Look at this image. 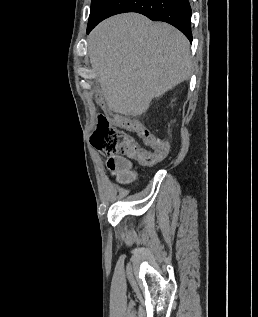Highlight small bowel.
<instances>
[{"mask_svg":"<svg viewBox=\"0 0 258 317\" xmlns=\"http://www.w3.org/2000/svg\"><path fill=\"white\" fill-rule=\"evenodd\" d=\"M116 124L127 130L135 132L144 144L153 151L161 152L163 159L170 152V144L153 134L141 121L136 118L120 116ZM108 168L116 175L117 180L122 184H130L135 179V174L131 170V164L123 157H113L107 162Z\"/></svg>","mask_w":258,"mask_h":317,"instance_id":"small-bowel-1","label":"small bowel"}]
</instances>
